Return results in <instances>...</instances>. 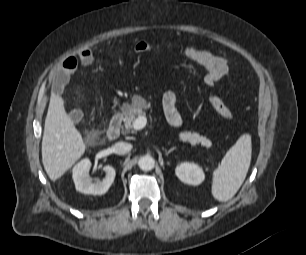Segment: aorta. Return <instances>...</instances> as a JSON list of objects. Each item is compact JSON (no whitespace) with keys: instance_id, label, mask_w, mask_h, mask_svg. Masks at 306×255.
Instances as JSON below:
<instances>
[{"instance_id":"obj_1","label":"aorta","mask_w":306,"mask_h":255,"mask_svg":"<svg viewBox=\"0 0 306 255\" xmlns=\"http://www.w3.org/2000/svg\"><path fill=\"white\" fill-rule=\"evenodd\" d=\"M155 160L150 155L142 156L138 161V166L143 171H150L154 168Z\"/></svg>"}]
</instances>
